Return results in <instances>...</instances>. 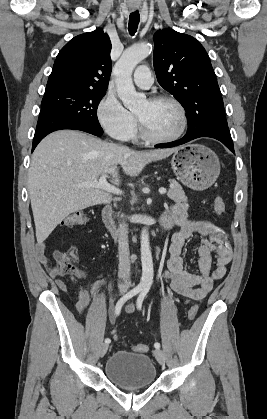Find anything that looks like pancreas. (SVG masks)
<instances>
[{"instance_id": "1", "label": "pancreas", "mask_w": 267, "mask_h": 419, "mask_svg": "<svg viewBox=\"0 0 267 419\" xmlns=\"http://www.w3.org/2000/svg\"><path fill=\"white\" fill-rule=\"evenodd\" d=\"M170 185L171 188L167 193L168 197L176 203L187 202V197L181 185L176 180H170Z\"/></svg>"}]
</instances>
